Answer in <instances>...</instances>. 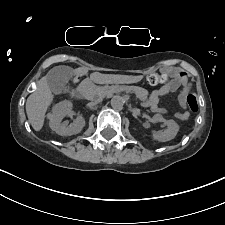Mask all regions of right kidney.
Returning a JSON list of instances; mask_svg holds the SVG:
<instances>
[{
    "label": "right kidney",
    "instance_id": "ca27d5eb",
    "mask_svg": "<svg viewBox=\"0 0 225 225\" xmlns=\"http://www.w3.org/2000/svg\"><path fill=\"white\" fill-rule=\"evenodd\" d=\"M73 115H75V112L70 101L57 103L48 115L50 129L61 136H71L80 133L85 126V119L81 115H78L76 120L69 126H67V123L62 122L64 117Z\"/></svg>",
    "mask_w": 225,
    "mask_h": 225
}]
</instances>
